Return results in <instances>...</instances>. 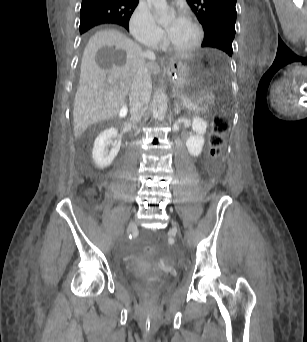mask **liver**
I'll use <instances>...</instances> for the list:
<instances>
[{
  "label": "liver",
  "mask_w": 307,
  "mask_h": 342,
  "mask_svg": "<svg viewBox=\"0 0 307 342\" xmlns=\"http://www.w3.org/2000/svg\"><path fill=\"white\" fill-rule=\"evenodd\" d=\"M137 44L118 30H102L91 36L82 56L80 78L75 94L74 136L79 138L88 126L118 116L140 68L159 74L156 62L146 64ZM176 58H189L179 54Z\"/></svg>",
  "instance_id": "liver-1"
}]
</instances>
